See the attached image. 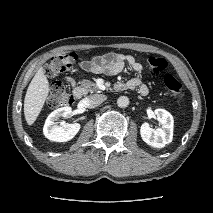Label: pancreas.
Returning a JSON list of instances; mask_svg holds the SVG:
<instances>
[{
	"label": "pancreas",
	"mask_w": 213,
	"mask_h": 213,
	"mask_svg": "<svg viewBox=\"0 0 213 213\" xmlns=\"http://www.w3.org/2000/svg\"><path fill=\"white\" fill-rule=\"evenodd\" d=\"M80 87L81 89L83 90V93L84 94H87L89 92H94L97 90V86L95 83L89 81V80H82L80 82Z\"/></svg>",
	"instance_id": "cf45deb5"
}]
</instances>
